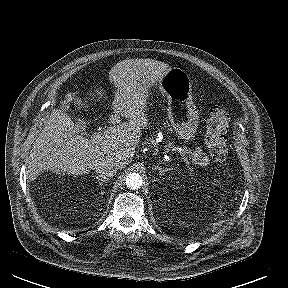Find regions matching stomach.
Segmentation results:
<instances>
[{
  "instance_id": "0dacf381",
  "label": "stomach",
  "mask_w": 288,
  "mask_h": 288,
  "mask_svg": "<svg viewBox=\"0 0 288 288\" xmlns=\"http://www.w3.org/2000/svg\"><path fill=\"white\" fill-rule=\"evenodd\" d=\"M159 90L168 100V117L180 139L191 141L197 132L199 113L192 101L190 77L183 70L173 67L159 81Z\"/></svg>"
}]
</instances>
